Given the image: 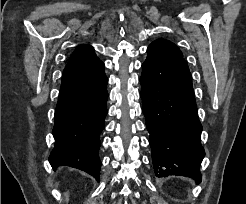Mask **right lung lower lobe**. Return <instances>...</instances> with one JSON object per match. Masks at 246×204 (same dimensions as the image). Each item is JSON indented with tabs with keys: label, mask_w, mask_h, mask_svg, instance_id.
<instances>
[{
	"label": "right lung lower lobe",
	"mask_w": 246,
	"mask_h": 204,
	"mask_svg": "<svg viewBox=\"0 0 246 204\" xmlns=\"http://www.w3.org/2000/svg\"><path fill=\"white\" fill-rule=\"evenodd\" d=\"M107 82L102 61L66 65L55 110V146L49 156L54 169L70 166L99 180V135L107 114Z\"/></svg>",
	"instance_id": "right-lung-lower-lobe-1"
}]
</instances>
